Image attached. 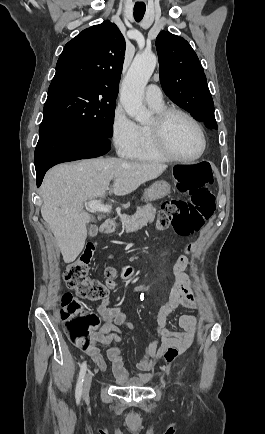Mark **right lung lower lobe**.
<instances>
[{"label": "right lung lower lobe", "mask_w": 265, "mask_h": 434, "mask_svg": "<svg viewBox=\"0 0 265 434\" xmlns=\"http://www.w3.org/2000/svg\"><path fill=\"white\" fill-rule=\"evenodd\" d=\"M110 149L108 138L78 135L52 124L40 125L34 154L37 186L41 185L46 171L52 166L102 156Z\"/></svg>", "instance_id": "1"}]
</instances>
